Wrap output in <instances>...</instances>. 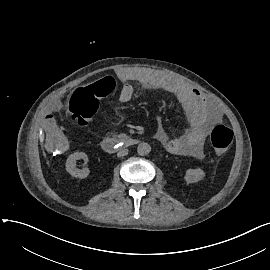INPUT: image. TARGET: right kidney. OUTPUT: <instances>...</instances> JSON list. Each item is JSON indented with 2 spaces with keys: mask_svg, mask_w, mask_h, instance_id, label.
Returning a JSON list of instances; mask_svg holds the SVG:
<instances>
[{
  "mask_svg": "<svg viewBox=\"0 0 270 270\" xmlns=\"http://www.w3.org/2000/svg\"><path fill=\"white\" fill-rule=\"evenodd\" d=\"M84 159L88 160V155L83 151H77L71 154L66 161L65 169L66 171L75 178H86L89 175V169L79 170L75 167L76 160Z\"/></svg>",
  "mask_w": 270,
  "mask_h": 270,
  "instance_id": "right-kidney-1",
  "label": "right kidney"
}]
</instances>
